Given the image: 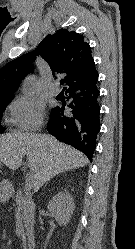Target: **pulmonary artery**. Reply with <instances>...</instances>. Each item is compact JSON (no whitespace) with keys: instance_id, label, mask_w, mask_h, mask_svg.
<instances>
[{"instance_id":"obj_1","label":"pulmonary artery","mask_w":135,"mask_h":249,"mask_svg":"<svg viewBox=\"0 0 135 249\" xmlns=\"http://www.w3.org/2000/svg\"><path fill=\"white\" fill-rule=\"evenodd\" d=\"M60 93V87L58 84H54L51 88H50V94L53 96H56Z\"/></svg>"}]
</instances>
